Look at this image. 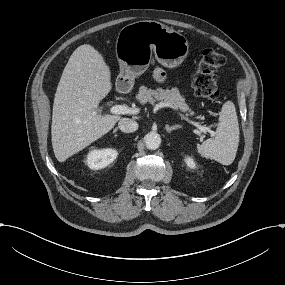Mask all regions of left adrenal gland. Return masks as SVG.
Here are the masks:
<instances>
[{
	"mask_svg": "<svg viewBox=\"0 0 285 285\" xmlns=\"http://www.w3.org/2000/svg\"><path fill=\"white\" fill-rule=\"evenodd\" d=\"M178 128H182L181 125L179 124H176V125H173V126H169L168 124L165 125V129L167 132H171L172 130H175V129H178Z\"/></svg>",
	"mask_w": 285,
	"mask_h": 285,
	"instance_id": "a2214340",
	"label": "left adrenal gland"
}]
</instances>
